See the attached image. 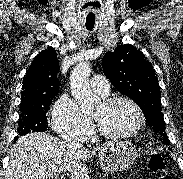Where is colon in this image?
I'll use <instances>...</instances> for the list:
<instances>
[{"label":"colon","instance_id":"1","mask_svg":"<svg viewBox=\"0 0 183 179\" xmlns=\"http://www.w3.org/2000/svg\"><path fill=\"white\" fill-rule=\"evenodd\" d=\"M148 168L155 174L157 179H172L165 170L162 155L154 148L148 151Z\"/></svg>","mask_w":183,"mask_h":179}]
</instances>
